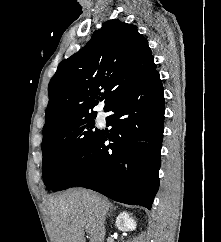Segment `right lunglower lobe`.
<instances>
[{"label": "right lung lower lobe", "mask_w": 221, "mask_h": 242, "mask_svg": "<svg viewBox=\"0 0 221 242\" xmlns=\"http://www.w3.org/2000/svg\"><path fill=\"white\" fill-rule=\"evenodd\" d=\"M110 133L100 131L53 191L95 190L115 201L151 208L159 187L164 96L158 71L117 97L105 110ZM112 141L105 145V141Z\"/></svg>", "instance_id": "obj_1"}]
</instances>
